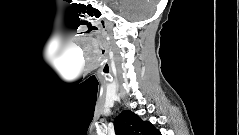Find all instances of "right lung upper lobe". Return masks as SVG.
I'll list each match as a JSON object with an SVG mask.
<instances>
[{"label": "right lung upper lobe", "instance_id": "right-lung-upper-lobe-1", "mask_svg": "<svg viewBox=\"0 0 239 135\" xmlns=\"http://www.w3.org/2000/svg\"><path fill=\"white\" fill-rule=\"evenodd\" d=\"M116 135H161L154 126L142 121L130 110L123 111L114 121Z\"/></svg>", "mask_w": 239, "mask_h": 135}]
</instances>
